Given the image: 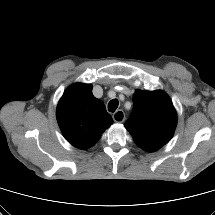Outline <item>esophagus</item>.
<instances>
[{
    "mask_svg": "<svg viewBox=\"0 0 215 215\" xmlns=\"http://www.w3.org/2000/svg\"><path fill=\"white\" fill-rule=\"evenodd\" d=\"M112 117L117 123H122L125 120V114L122 110H117Z\"/></svg>",
    "mask_w": 215,
    "mask_h": 215,
    "instance_id": "obj_1",
    "label": "esophagus"
}]
</instances>
